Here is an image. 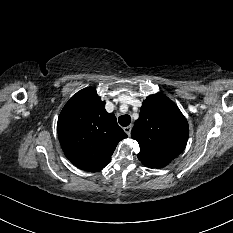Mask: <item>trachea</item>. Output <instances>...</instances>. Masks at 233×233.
Wrapping results in <instances>:
<instances>
[{
    "label": "trachea",
    "mask_w": 233,
    "mask_h": 233,
    "mask_svg": "<svg viewBox=\"0 0 233 233\" xmlns=\"http://www.w3.org/2000/svg\"><path fill=\"white\" fill-rule=\"evenodd\" d=\"M118 122L121 126L126 127L131 123V117L129 115H122L118 118Z\"/></svg>",
    "instance_id": "obj_1"
}]
</instances>
